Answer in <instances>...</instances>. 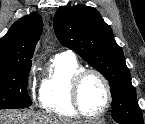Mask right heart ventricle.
I'll use <instances>...</instances> for the list:
<instances>
[{"label": "right heart ventricle", "mask_w": 145, "mask_h": 124, "mask_svg": "<svg viewBox=\"0 0 145 124\" xmlns=\"http://www.w3.org/2000/svg\"><path fill=\"white\" fill-rule=\"evenodd\" d=\"M84 69L79 61L68 54L52 59V68L43 79L39 90V103L46 112L62 118H77L71 98V82L76 73Z\"/></svg>", "instance_id": "right-heart-ventricle-1"}]
</instances>
